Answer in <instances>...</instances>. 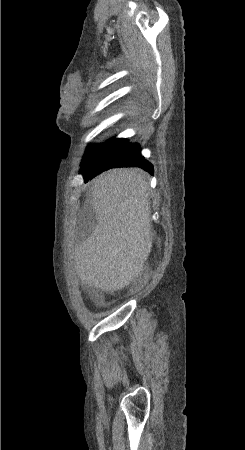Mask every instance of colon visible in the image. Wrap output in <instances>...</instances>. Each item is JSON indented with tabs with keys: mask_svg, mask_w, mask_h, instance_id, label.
I'll return each mask as SVG.
<instances>
[{
	"mask_svg": "<svg viewBox=\"0 0 245 450\" xmlns=\"http://www.w3.org/2000/svg\"><path fill=\"white\" fill-rule=\"evenodd\" d=\"M141 286V281L136 282L134 289H138Z\"/></svg>",
	"mask_w": 245,
	"mask_h": 450,
	"instance_id": "colon-1",
	"label": "colon"
}]
</instances>
